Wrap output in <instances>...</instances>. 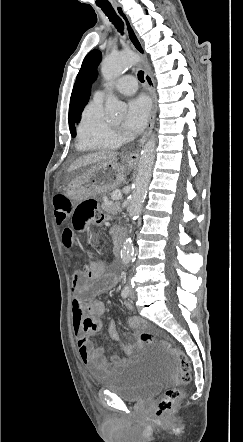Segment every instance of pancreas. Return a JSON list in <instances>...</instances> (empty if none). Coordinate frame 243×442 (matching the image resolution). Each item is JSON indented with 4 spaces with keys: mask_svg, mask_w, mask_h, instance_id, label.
<instances>
[{
    "mask_svg": "<svg viewBox=\"0 0 243 442\" xmlns=\"http://www.w3.org/2000/svg\"><path fill=\"white\" fill-rule=\"evenodd\" d=\"M101 207L104 211L113 215L121 211L119 202H107L105 200Z\"/></svg>",
    "mask_w": 243,
    "mask_h": 442,
    "instance_id": "obj_1",
    "label": "pancreas"
}]
</instances>
